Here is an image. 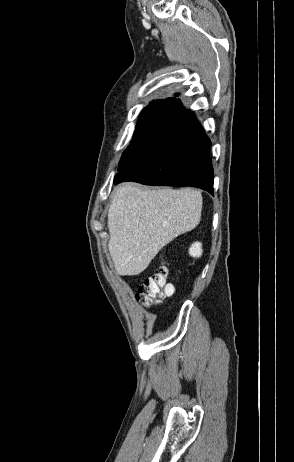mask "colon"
Instances as JSON below:
<instances>
[{"mask_svg": "<svg viewBox=\"0 0 294 462\" xmlns=\"http://www.w3.org/2000/svg\"><path fill=\"white\" fill-rule=\"evenodd\" d=\"M168 267L162 264L156 272L145 279L136 293V300L144 306H151L163 297L172 296L174 286L167 283Z\"/></svg>", "mask_w": 294, "mask_h": 462, "instance_id": "colon-1", "label": "colon"}]
</instances>
